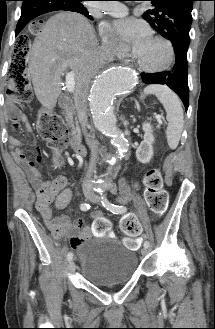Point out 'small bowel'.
Instances as JSON below:
<instances>
[{"mask_svg":"<svg viewBox=\"0 0 215 329\" xmlns=\"http://www.w3.org/2000/svg\"><path fill=\"white\" fill-rule=\"evenodd\" d=\"M11 119L17 125H23L28 130H30L26 119L17 110H14L13 114L11 115ZM10 146L13 150V156L16 162L24 169L32 187L35 189L36 209L40 213L45 224L51 232L56 234L54 232L56 227L59 229V233L56 235H60L61 231L72 232L80 230V234L73 235L70 240V244L74 249H79L84 241L90 237L91 232L93 236H111L114 227L113 225H110L109 220H89V228L84 226L82 219H76L72 227L68 217L65 215H61L57 219L53 218L51 209V203L53 200H49L47 203H44L43 195L48 192H50L52 195H57V206L59 208L67 206L72 198V191L70 188L65 187V178L59 177L52 181L43 179L40 168L38 166L40 157L37 156L35 159H29L25 151L22 149V143L15 138L10 139ZM120 188L121 199L123 201L128 200L130 198V191L124 180L121 181ZM93 217L100 219L103 218V215L100 212H94ZM142 240V237L138 238L139 243H141Z\"/></svg>","mask_w":215,"mask_h":329,"instance_id":"small-bowel-1","label":"small bowel"}]
</instances>
